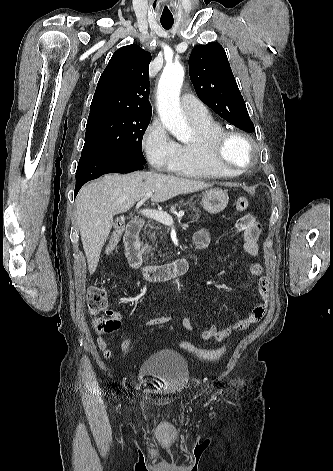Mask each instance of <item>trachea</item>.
Returning <instances> with one entry per match:
<instances>
[{"instance_id": "1", "label": "trachea", "mask_w": 333, "mask_h": 471, "mask_svg": "<svg viewBox=\"0 0 333 471\" xmlns=\"http://www.w3.org/2000/svg\"><path fill=\"white\" fill-rule=\"evenodd\" d=\"M173 23H174V20H161V24L166 30L170 29Z\"/></svg>"}]
</instances>
